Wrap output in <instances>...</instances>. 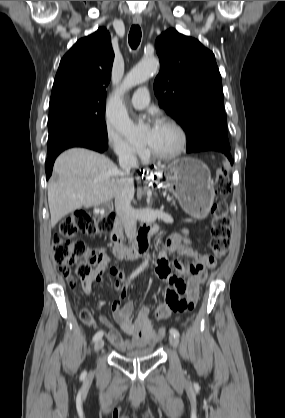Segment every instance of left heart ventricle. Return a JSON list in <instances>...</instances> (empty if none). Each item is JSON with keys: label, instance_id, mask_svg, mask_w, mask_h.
Segmentation results:
<instances>
[{"label": "left heart ventricle", "instance_id": "1", "mask_svg": "<svg viewBox=\"0 0 285 418\" xmlns=\"http://www.w3.org/2000/svg\"><path fill=\"white\" fill-rule=\"evenodd\" d=\"M145 140L155 151L169 154L177 149L179 135L175 129L162 125L159 131L154 134L149 131Z\"/></svg>", "mask_w": 285, "mask_h": 418}]
</instances>
